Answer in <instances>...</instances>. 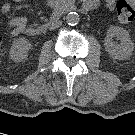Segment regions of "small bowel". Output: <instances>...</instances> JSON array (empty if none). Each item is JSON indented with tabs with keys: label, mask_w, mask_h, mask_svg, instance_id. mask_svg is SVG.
I'll list each match as a JSON object with an SVG mask.
<instances>
[{
	"label": "small bowel",
	"mask_w": 135,
	"mask_h": 135,
	"mask_svg": "<svg viewBox=\"0 0 135 135\" xmlns=\"http://www.w3.org/2000/svg\"><path fill=\"white\" fill-rule=\"evenodd\" d=\"M23 0H13V2H21ZM87 2H89L90 4H92V7H94V5L96 4V0H86ZM106 7L109 9H112L115 5V0H103ZM59 2V0H47V3L49 5H55ZM90 8V9H91ZM1 10L6 13L9 12L11 10V5L7 2H5L2 7ZM128 24V23H126ZM9 26V33L11 36L15 37L18 36L22 33H24L27 29V19L23 16H17L15 18H13L10 23H8Z\"/></svg>",
	"instance_id": "c3829d8e"
}]
</instances>
